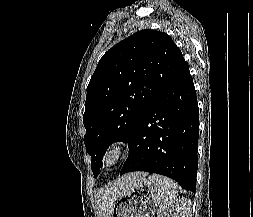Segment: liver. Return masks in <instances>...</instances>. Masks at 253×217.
<instances>
[{
  "mask_svg": "<svg viewBox=\"0 0 253 217\" xmlns=\"http://www.w3.org/2000/svg\"><path fill=\"white\" fill-rule=\"evenodd\" d=\"M145 176L146 173L133 172L101 188L96 195L99 217H110L114 202L132 188L140 178Z\"/></svg>",
  "mask_w": 253,
  "mask_h": 217,
  "instance_id": "liver-1",
  "label": "liver"
}]
</instances>
